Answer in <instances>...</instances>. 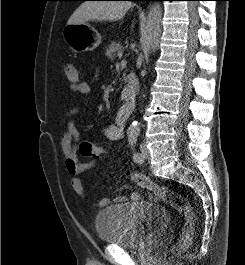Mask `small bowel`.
Segmentation results:
<instances>
[{
	"label": "small bowel",
	"instance_id": "small-bowel-1",
	"mask_svg": "<svg viewBox=\"0 0 245 265\" xmlns=\"http://www.w3.org/2000/svg\"><path fill=\"white\" fill-rule=\"evenodd\" d=\"M79 94H90L92 92V87L85 81H82L78 84L76 90ZM80 107H74L72 110L67 112L64 122V131L60 135V144L61 149L65 158V166L67 172L71 175V188L72 190L80 197H85L86 192L83 186V182L81 177L79 176L81 173L90 170L94 167V162L82 161L77 154V142L79 140V130L73 120H70L69 117L75 115L79 112ZM103 136L110 141H118L123 137L122 127L117 124H108L102 129ZM127 186H122L116 189V192L127 189ZM149 199L152 201L159 200V196L152 192L149 194ZM141 199V195L137 192H133L130 195V200L139 201ZM128 199L123 195H117L112 200L109 198H103L97 201L94 206L98 208L105 207L110 203H123Z\"/></svg>",
	"mask_w": 245,
	"mask_h": 265
}]
</instances>
